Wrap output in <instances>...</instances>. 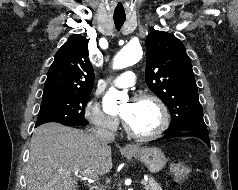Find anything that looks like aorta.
Masks as SVG:
<instances>
[{
  "label": "aorta",
  "mask_w": 238,
  "mask_h": 190,
  "mask_svg": "<svg viewBox=\"0 0 238 190\" xmlns=\"http://www.w3.org/2000/svg\"><path fill=\"white\" fill-rule=\"evenodd\" d=\"M142 57V48L135 41L128 42L114 58L113 67L123 69L138 62ZM128 96L111 87L103 98V111L107 114L117 112L119 104L125 102Z\"/></svg>",
  "instance_id": "762f6f07"
}]
</instances>
